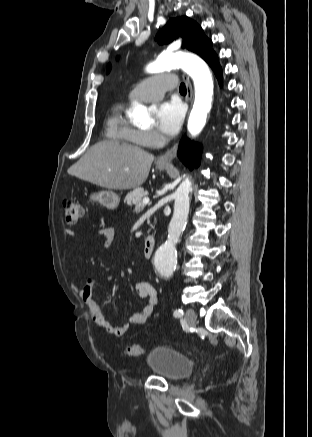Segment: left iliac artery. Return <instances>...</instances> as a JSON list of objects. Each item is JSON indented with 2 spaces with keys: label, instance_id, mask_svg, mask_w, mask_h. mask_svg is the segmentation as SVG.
I'll return each instance as SVG.
<instances>
[{
  "label": "left iliac artery",
  "instance_id": "44dca946",
  "mask_svg": "<svg viewBox=\"0 0 312 437\" xmlns=\"http://www.w3.org/2000/svg\"><path fill=\"white\" fill-rule=\"evenodd\" d=\"M183 314L184 313H183L182 309L175 310L174 313H173L174 317H176V318L182 317Z\"/></svg>",
  "mask_w": 312,
  "mask_h": 437
}]
</instances>
